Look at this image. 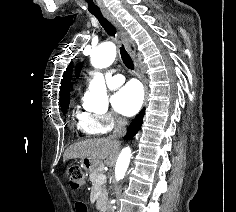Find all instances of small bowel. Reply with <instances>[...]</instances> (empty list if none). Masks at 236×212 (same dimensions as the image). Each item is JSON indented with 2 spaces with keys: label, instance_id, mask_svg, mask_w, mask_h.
<instances>
[{
  "label": "small bowel",
  "instance_id": "obj_1",
  "mask_svg": "<svg viewBox=\"0 0 236 212\" xmlns=\"http://www.w3.org/2000/svg\"><path fill=\"white\" fill-rule=\"evenodd\" d=\"M73 201H74L73 205L74 212H90V209H88V205H82V204H89V199L73 198Z\"/></svg>",
  "mask_w": 236,
  "mask_h": 212
}]
</instances>
